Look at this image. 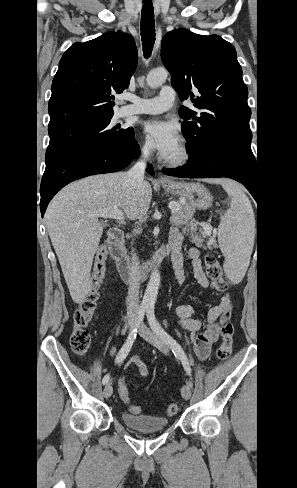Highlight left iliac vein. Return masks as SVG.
I'll use <instances>...</instances> for the list:
<instances>
[{"label": "left iliac vein", "instance_id": "4c4485c4", "mask_svg": "<svg viewBox=\"0 0 297 488\" xmlns=\"http://www.w3.org/2000/svg\"><path fill=\"white\" fill-rule=\"evenodd\" d=\"M139 335L142 338H144L146 341H148L150 344L157 347L162 353L166 355L169 353V348L167 344H165V342L161 338H159L154 332H152L144 323H142L139 327ZM191 387H192L191 382H188L182 388L181 393H182V397L185 400H188L191 397Z\"/></svg>", "mask_w": 297, "mask_h": 488}]
</instances>
